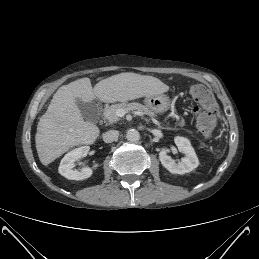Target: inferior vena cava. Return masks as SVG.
I'll list each match as a JSON object with an SVG mask.
<instances>
[{"label":"inferior vena cava","mask_w":259,"mask_h":259,"mask_svg":"<svg viewBox=\"0 0 259 259\" xmlns=\"http://www.w3.org/2000/svg\"><path fill=\"white\" fill-rule=\"evenodd\" d=\"M119 136V131L117 130H109L103 134V141L105 143H111L115 141Z\"/></svg>","instance_id":"602c4592"}]
</instances>
